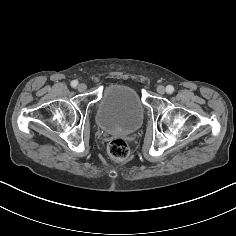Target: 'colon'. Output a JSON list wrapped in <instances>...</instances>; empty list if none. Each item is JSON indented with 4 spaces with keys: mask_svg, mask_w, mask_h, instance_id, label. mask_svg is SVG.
I'll return each instance as SVG.
<instances>
[{
    "mask_svg": "<svg viewBox=\"0 0 236 236\" xmlns=\"http://www.w3.org/2000/svg\"><path fill=\"white\" fill-rule=\"evenodd\" d=\"M109 155L118 161H124L128 159L130 150L128 144L121 138H115L108 144Z\"/></svg>",
    "mask_w": 236,
    "mask_h": 236,
    "instance_id": "5ec220e1",
    "label": "colon"
}]
</instances>
